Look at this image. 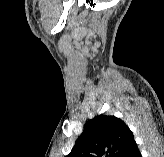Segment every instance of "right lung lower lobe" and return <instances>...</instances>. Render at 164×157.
I'll use <instances>...</instances> for the list:
<instances>
[{"label": "right lung lower lobe", "mask_w": 164, "mask_h": 157, "mask_svg": "<svg viewBox=\"0 0 164 157\" xmlns=\"http://www.w3.org/2000/svg\"><path fill=\"white\" fill-rule=\"evenodd\" d=\"M121 157H142L134 140L128 145Z\"/></svg>", "instance_id": "obj_1"}]
</instances>
